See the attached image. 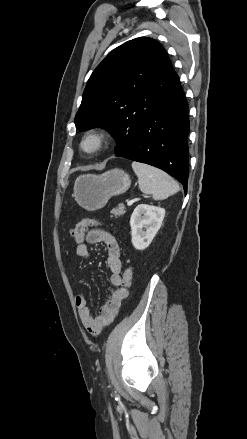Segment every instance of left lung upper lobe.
I'll use <instances>...</instances> for the list:
<instances>
[{
  "label": "left lung upper lobe",
  "instance_id": "1",
  "mask_svg": "<svg viewBox=\"0 0 247 439\" xmlns=\"http://www.w3.org/2000/svg\"><path fill=\"white\" fill-rule=\"evenodd\" d=\"M179 83L166 50L151 38L130 40L114 49L93 71L75 116L76 128L101 126L125 151L144 118Z\"/></svg>",
  "mask_w": 247,
  "mask_h": 439
}]
</instances>
